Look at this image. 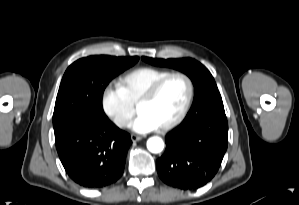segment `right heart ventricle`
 Masks as SVG:
<instances>
[{
    "label": "right heart ventricle",
    "mask_w": 299,
    "mask_h": 205,
    "mask_svg": "<svg viewBox=\"0 0 299 205\" xmlns=\"http://www.w3.org/2000/svg\"><path fill=\"white\" fill-rule=\"evenodd\" d=\"M170 73L167 70L143 66L132 69L120 76L117 86L122 90L128 101L135 105L142 94L159 78Z\"/></svg>",
    "instance_id": "obj_1"
}]
</instances>
